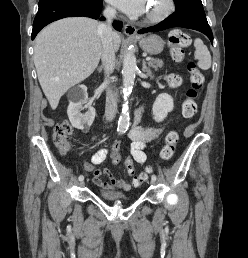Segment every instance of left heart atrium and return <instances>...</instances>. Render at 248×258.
I'll return each mask as SVG.
<instances>
[{"label":"left heart atrium","mask_w":248,"mask_h":258,"mask_svg":"<svg viewBox=\"0 0 248 258\" xmlns=\"http://www.w3.org/2000/svg\"><path fill=\"white\" fill-rule=\"evenodd\" d=\"M119 9L130 16L144 14L149 6L150 0H110Z\"/></svg>","instance_id":"left-heart-atrium-1"}]
</instances>
